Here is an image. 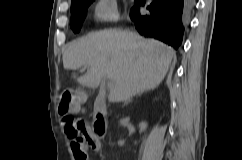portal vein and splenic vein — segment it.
Returning a JSON list of instances; mask_svg holds the SVG:
<instances>
[{"mask_svg":"<svg viewBox=\"0 0 242 160\" xmlns=\"http://www.w3.org/2000/svg\"><path fill=\"white\" fill-rule=\"evenodd\" d=\"M108 83H107V86L108 88H112L113 87V81L108 77Z\"/></svg>","mask_w":242,"mask_h":160,"instance_id":"18ae733b","label":"portal vein and splenic vein"}]
</instances>
